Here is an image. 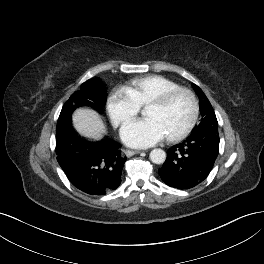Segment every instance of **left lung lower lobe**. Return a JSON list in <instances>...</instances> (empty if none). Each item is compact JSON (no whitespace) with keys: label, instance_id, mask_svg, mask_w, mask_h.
<instances>
[{"label":"left lung lower lobe","instance_id":"left-lung-lower-lobe-1","mask_svg":"<svg viewBox=\"0 0 264 264\" xmlns=\"http://www.w3.org/2000/svg\"><path fill=\"white\" fill-rule=\"evenodd\" d=\"M219 152V133L214 126L192 131L180 144L168 150L159 174L165 184L190 189L200 184L213 168Z\"/></svg>","mask_w":264,"mask_h":264}]
</instances>
